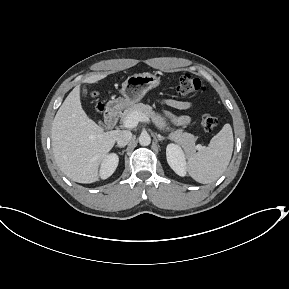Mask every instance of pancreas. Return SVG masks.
Returning a JSON list of instances; mask_svg holds the SVG:
<instances>
[{
	"mask_svg": "<svg viewBox=\"0 0 289 289\" xmlns=\"http://www.w3.org/2000/svg\"><path fill=\"white\" fill-rule=\"evenodd\" d=\"M134 112L144 114L147 117L151 118L154 124L161 130H163L167 126L165 117H162L160 114L155 113L150 105H145L143 103L134 104L124 110V112L121 114V119L124 121V119L128 115ZM168 138L180 144L190 154L194 153L197 149V146L195 145L196 138L194 137V135L183 132L182 129L172 131L169 134Z\"/></svg>",
	"mask_w": 289,
	"mask_h": 289,
	"instance_id": "1",
	"label": "pancreas"
}]
</instances>
